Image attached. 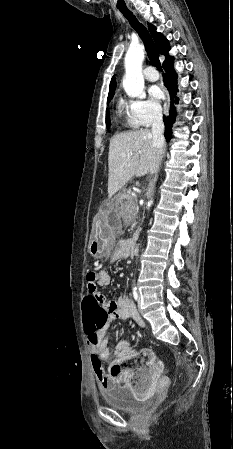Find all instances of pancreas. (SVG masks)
<instances>
[{
	"instance_id": "pancreas-1",
	"label": "pancreas",
	"mask_w": 233,
	"mask_h": 449,
	"mask_svg": "<svg viewBox=\"0 0 233 449\" xmlns=\"http://www.w3.org/2000/svg\"><path fill=\"white\" fill-rule=\"evenodd\" d=\"M122 198L126 199L127 202L121 203V214L124 218H130L135 216L137 211L136 198L130 194L123 195Z\"/></svg>"
}]
</instances>
